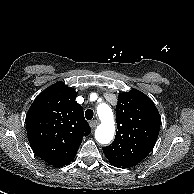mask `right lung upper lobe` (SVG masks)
Wrapping results in <instances>:
<instances>
[{
  "instance_id": "cb5924a9",
  "label": "right lung upper lobe",
  "mask_w": 194,
  "mask_h": 194,
  "mask_svg": "<svg viewBox=\"0 0 194 194\" xmlns=\"http://www.w3.org/2000/svg\"><path fill=\"white\" fill-rule=\"evenodd\" d=\"M77 92L62 82L41 92L26 115V129L35 154L56 167L71 162L84 136L91 132L76 101Z\"/></svg>"
}]
</instances>
